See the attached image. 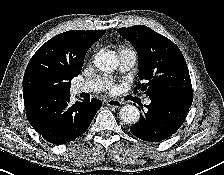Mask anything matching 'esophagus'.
I'll return each mask as SVG.
<instances>
[{"instance_id": "1", "label": "esophagus", "mask_w": 224, "mask_h": 175, "mask_svg": "<svg viewBox=\"0 0 224 175\" xmlns=\"http://www.w3.org/2000/svg\"><path fill=\"white\" fill-rule=\"evenodd\" d=\"M106 104L110 107L119 108L122 106L123 103L120 100L109 99L107 100Z\"/></svg>"}]
</instances>
